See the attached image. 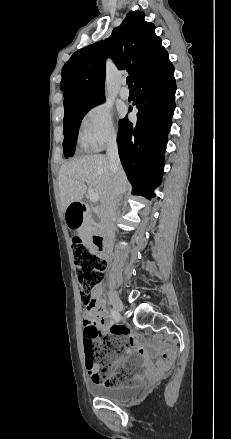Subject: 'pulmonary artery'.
<instances>
[{
	"label": "pulmonary artery",
	"instance_id": "obj_1",
	"mask_svg": "<svg viewBox=\"0 0 231 439\" xmlns=\"http://www.w3.org/2000/svg\"><path fill=\"white\" fill-rule=\"evenodd\" d=\"M119 95L122 99H128L130 96V92H129L128 88L126 87L124 81H123V86L119 91Z\"/></svg>",
	"mask_w": 231,
	"mask_h": 439
}]
</instances>
